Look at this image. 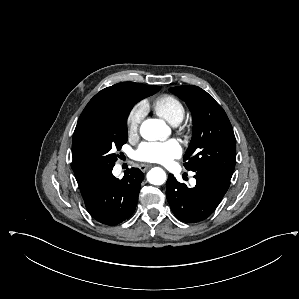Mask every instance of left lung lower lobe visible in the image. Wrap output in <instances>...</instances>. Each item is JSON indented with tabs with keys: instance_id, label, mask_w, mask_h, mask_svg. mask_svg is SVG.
Wrapping results in <instances>:
<instances>
[{
	"instance_id": "1",
	"label": "left lung lower lobe",
	"mask_w": 299,
	"mask_h": 299,
	"mask_svg": "<svg viewBox=\"0 0 299 299\" xmlns=\"http://www.w3.org/2000/svg\"><path fill=\"white\" fill-rule=\"evenodd\" d=\"M197 183L189 188L172 174L166 182V196L174 215L188 223L208 218L221 202L230 185V178L213 170H196Z\"/></svg>"
}]
</instances>
